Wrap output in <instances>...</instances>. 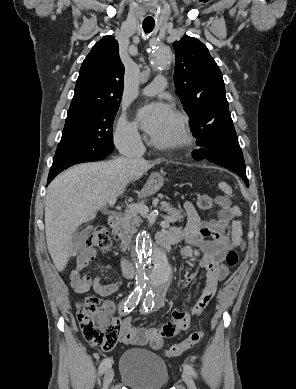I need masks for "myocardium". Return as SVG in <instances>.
I'll use <instances>...</instances> for the list:
<instances>
[{
    "instance_id": "f54148a6",
    "label": "myocardium",
    "mask_w": 296,
    "mask_h": 389,
    "mask_svg": "<svg viewBox=\"0 0 296 389\" xmlns=\"http://www.w3.org/2000/svg\"><path fill=\"white\" fill-rule=\"evenodd\" d=\"M173 115L176 117L178 121L177 136L174 139L169 141H160L155 138H152L151 142L154 146L161 149L174 150V149L182 148L191 142L192 135H191L189 120L187 116L180 111H174Z\"/></svg>"
}]
</instances>
